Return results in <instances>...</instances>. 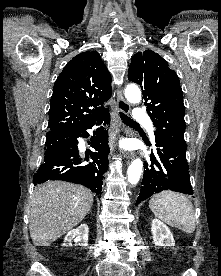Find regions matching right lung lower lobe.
<instances>
[{
  "label": "right lung lower lobe",
  "mask_w": 221,
  "mask_h": 276,
  "mask_svg": "<svg viewBox=\"0 0 221 276\" xmlns=\"http://www.w3.org/2000/svg\"><path fill=\"white\" fill-rule=\"evenodd\" d=\"M109 110L103 113L94 122L83 128L73 136L71 145L63 150L52 151L45 154L44 161L34 174V185L41 184L48 180H64L82 184L97 195L102 194V185L104 175L108 170L109 145L108 134L101 126L94 133L96 137H92V147L96 150L91 152L90 156L84 159L80 157L78 152V137H88L87 129L93 125L109 124ZM92 159V162L85 163Z\"/></svg>",
  "instance_id": "obj_1"
}]
</instances>
